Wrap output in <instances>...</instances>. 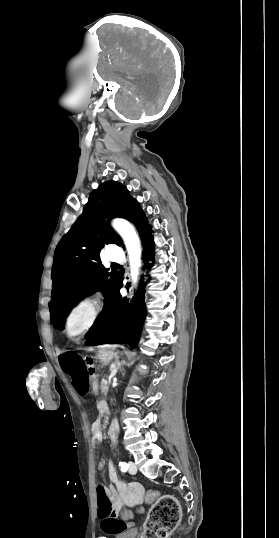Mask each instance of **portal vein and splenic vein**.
Listing matches in <instances>:
<instances>
[{
    "mask_svg": "<svg viewBox=\"0 0 279 538\" xmlns=\"http://www.w3.org/2000/svg\"><path fill=\"white\" fill-rule=\"evenodd\" d=\"M105 383H108V380H105Z\"/></svg>",
    "mask_w": 279,
    "mask_h": 538,
    "instance_id": "obj_1",
    "label": "portal vein and splenic vein"
}]
</instances>
